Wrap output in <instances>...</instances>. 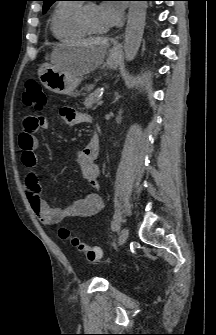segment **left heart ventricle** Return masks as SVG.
<instances>
[{"label":"left heart ventricle","instance_id":"obj_1","mask_svg":"<svg viewBox=\"0 0 216 335\" xmlns=\"http://www.w3.org/2000/svg\"><path fill=\"white\" fill-rule=\"evenodd\" d=\"M87 17L89 20L90 25L95 30H105V27L102 23L100 13H99V6L96 4H90L87 7Z\"/></svg>","mask_w":216,"mask_h":335}]
</instances>
